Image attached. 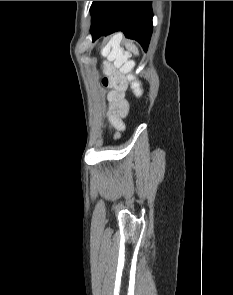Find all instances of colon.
<instances>
[{
    "instance_id": "colon-1",
    "label": "colon",
    "mask_w": 233,
    "mask_h": 295,
    "mask_svg": "<svg viewBox=\"0 0 233 295\" xmlns=\"http://www.w3.org/2000/svg\"><path fill=\"white\" fill-rule=\"evenodd\" d=\"M121 44L122 39L118 36H114L110 38L101 49L102 55L106 57L109 64L107 75L103 79V85L105 87L114 88L115 91L123 89L124 80L119 74L113 71V68L122 67L124 70H128L131 67V63L128 61ZM132 89L137 96L141 95V84L138 81H133Z\"/></svg>"
}]
</instances>
